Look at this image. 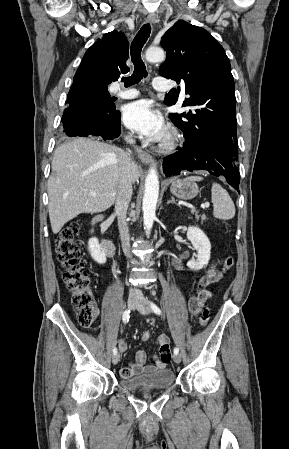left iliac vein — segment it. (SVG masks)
I'll return each mask as SVG.
<instances>
[{
    "instance_id": "1",
    "label": "left iliac vein",
    "mask_w": 289,
    "mask_h": 449,
    "mask_svg": "<svg viewBox=\"0 0 289 449\" xmlns=\"http://www.w3.org/2000/svg\"><path fill=\"white\" fill-rule=\"evenodd\" d=\"M136 308L143 315L149 314L152 311L149 302L142 295L140 296L139 300L137 301ZM173 360L175 363L179 364L181 362V355L174 354Z\"/></svg>"
}]
</instances>
